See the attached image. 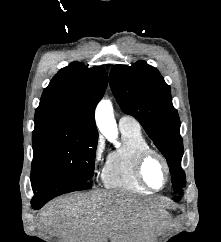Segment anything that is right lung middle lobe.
<instances>
[{
	"mask_svg": "<svg viewBox=\"0 0 221 242\" xmlns=\"http://www.w3.org/2000/svg\"><path fill=\"white\" fill-rule=\"evenodd\" d=\"M98 134L70 125L35 127L31 176L88 181L94 174Z\"/></svg>",
	"mask_w": 221,
	"mask_h": 242,
	"instance_id": "obj_1",
	"label": "right lung middle lobe"
}]
</instances>
